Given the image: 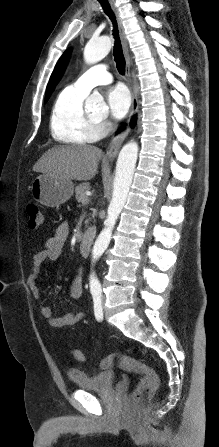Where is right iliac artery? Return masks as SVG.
I'll return each mask as SVG.
<instances>
[{
	"label": "right iliac artery",
	"mask_w": 219,
	"mask_h": 447,
	"mask_svg": "<svg viewBox=\"0 0 219 447\" xmlns=\"http://www.w3.org/2000/svg\"><path fill=\"white\" fill-rule=\"evenodd\" d=\"M93 302H94V313L95 317L98 321H101L103 319V309H102V302H101V294L99 293H93Z\"/></svg>",
	"instance_id": "obj_1"
}]
</instances>
